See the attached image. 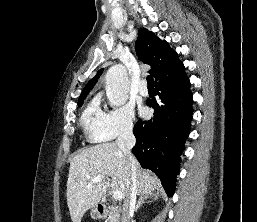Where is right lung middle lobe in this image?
I'll return each mask as SVG.
<instances>
[{"instance_id":"1","label":"right lung middle lobe","mask_w":257,"mask_h":222,"mask_svg":"<svg viewBox=\"0 0 257 222\" xmlns=\"http://www.w3.org/2000/svg\"><path fill=\"white\" fill-rule=\"evenodd\" d=\"M82 104H83V101L79 102V103H78V106H82Z\"/></svg>"}]
</instances>
